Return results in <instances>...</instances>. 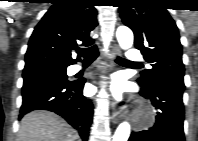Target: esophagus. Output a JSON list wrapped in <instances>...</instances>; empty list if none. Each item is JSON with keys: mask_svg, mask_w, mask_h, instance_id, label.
Returning <instances> with one entry per match:
<instances>
[{"mask_svg": "<svg viewBox=\"0 0 198 141\" xmlns=\"http://www.w3.org/2000/svg\"><path fill=\"white\" fill-rule=\"evenodd\" d=\"M120 54H121V51H120L119 47L116 46V45L113 46L112 52L110 54V59H111V63H112L113 66L115 65V62H114L115 57L120 55ZM121 118H122V115H121L120 111H114L113 112L112 121L114 123H118Z\"/></svg>", "mask_w": 198, "mask_h": 141, "instance_id": "esophagus-1", "label": "esophagus"}]
</instances>
